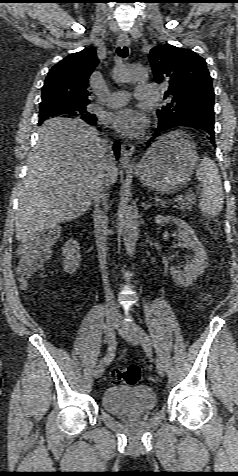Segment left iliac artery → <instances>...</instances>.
<instances>
[{"instance_id": "obj_1", "label": "left iliac artery", "mask_w": 238, "mask_h": 476, "mask_svg": "<svg viewBox=\"0 0 238 476\" xmlns=\"http://www.w3.org/2000/svg\"><path fill=\"white\" fill-rule=\"evenodd\" d=\"M136 334L140 339L142 345L147 348L152 346V342L148 336V334L138 325L135 327Z\"/></svg>"}]
</instances>
